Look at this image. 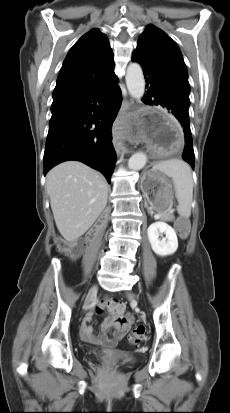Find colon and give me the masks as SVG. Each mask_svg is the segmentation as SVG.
<instances>
[{
  "instance_id": "obj_1",
  "label": "colon",
  "mask_w": 230,
  "mask_h": 413,
  "mask_svg": "<svg viewBox=\"0 0 230 413\" xmlns=\"http://www.w3.org/2000/svg\"><path fill=\"white\" fill-rule=\"evenodd\" d=\"M176 230L181 237L187 236L189 232L188 221L184 217H180L175 223ZM58 249L70 256H75L78 250L70 243L65 241L57 242ZM108 309L111 313L119 315L124 312L123 303L117 298H111L98 303L96 310L101 312L103 309ZM146 336V328L142 325L136 326L130 334V342L132 344H139Z\"/></svg>"
}]
</instances>
